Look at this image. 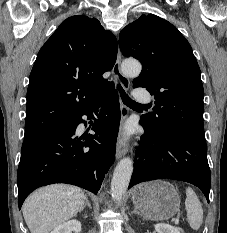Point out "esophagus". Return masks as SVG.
I'll list each match as a JSON object with an SVG mask.
<instances>
[{
  "label": "esophagus",
  "instance_id": "esophagus-1",
  "mask_svg": "<svg viewBox=\"0 0 227 233\" xmlns=\"http://www.w3.org/2000/svg\"><path fill=\"white\" fill-rule=\"evenodd\" d=\"M121 60H122L121 52H120V50H118L117 59H116V62L113 66V75L121 83L123 88L125 90H128L129 86H130V81L121 72ZM127 116H128V109L124 104H121V122H122V124L126 120ZM127 151H128V143L124 139L123 131H121V133L119 134L117 146H116V158L120 159L122 156H124L127 153Z\"/></svg>",
  "mask_w": 227,
  "mask_h": 233
}]
</instances>
